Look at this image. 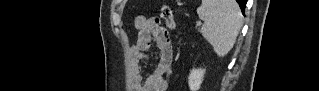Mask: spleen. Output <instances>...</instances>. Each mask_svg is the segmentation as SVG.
<instances>
[{
    "instance_id": "3e777b00",
    "label": "spleen",
    "mask_w": 319,
    "mask_h": 91,
    "mask_svg": "<svg viewBox=\"0 0 319 91\" xmlns=\"http://www.w3.org/2000/svg\"><path fill=\"white\" fill-rule=\"evenodd\" d=\"M204 22L202 36L213 46L219 57L232 49L242 27L241 10L235 0H203L197 9Z\"/></svg>"
}]
</instances>
